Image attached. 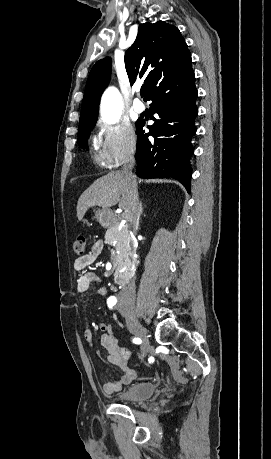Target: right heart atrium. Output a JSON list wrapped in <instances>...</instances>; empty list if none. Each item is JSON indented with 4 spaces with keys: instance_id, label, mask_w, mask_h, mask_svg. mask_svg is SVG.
I'll return each instance as SVG.
<instances>
[{
    "instance_id": "obj_1",
    "label": "right heart atrium",
    "mask_w": 271,
    "mask_h": 459,
    "mask_svg": "<svg viewBox=\"0 0 271 459\" xmlns=\"http://www.w3.org/2000/svg\"><path fill=\"white\" fill-rule=\"evenodd\" d=\"M93 140L97 148L98 162L108 169L119 166L136 147L135 132L128 123L105 126L99 121Z\"/></svg>"
}]
</instances>
